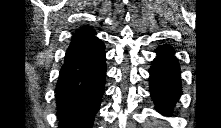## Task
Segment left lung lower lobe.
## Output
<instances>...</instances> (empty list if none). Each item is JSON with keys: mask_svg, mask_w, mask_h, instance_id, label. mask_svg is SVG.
I'll return each mask as SVG.
<instances>
[{"mask_svg": "<svg viewBox=\"0 0 221 128\" xmlns=\"http://www.w3.org/2000/svg\"><path fill=\"white\" fill-rule=\"evenodd\" d=\"M156 53L150 68V92L157 110L169 115L181 94L180 69L170 46H161Z\"/></svg>", "mask_w": 221, "mask_h": 128, "instance_id": "obj_1", "label": "left lung lower lobe"}]
</instances>
